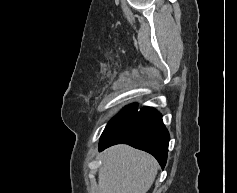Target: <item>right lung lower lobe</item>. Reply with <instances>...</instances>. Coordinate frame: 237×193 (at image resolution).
Instances as JSON below:
<instances>
[{"instance_id":"1","label":"right lung lower lobe","mask_w":237,"mask_h":193,"mask_svg":"<svg viewBox=\"0 0 237 193\" xmlns=\"http://www.w3.org/2000/svg\"><path fill=\"white\" fill-rule=\"evenodd\" d=\"M169 139L158 111L152 107L138 110L137 104H131L108 122L100 138L99 150L115 144H129L152 154L164 168Z\"/></svg>"}]
</instances>
